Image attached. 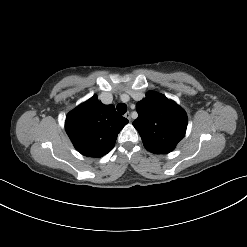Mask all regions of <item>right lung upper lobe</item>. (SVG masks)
Segmentation results:
<instances>
[{"label":"right lung upper lobe","mask_w":247,"mask_h":247,"mask_svg":"<svg viewBox=\"0 0 247 247\" xmlns=\"http://www.w3.org/2000/svg\"><path fill=\"white\" fill-rule=\"evenodd\" d=\"M127 123L113 105L102 104L94 95L68 113L65 130L78 152L98 158L112 150Z\"/></svg>","instance_id":"obj_1"}]
</instances>
